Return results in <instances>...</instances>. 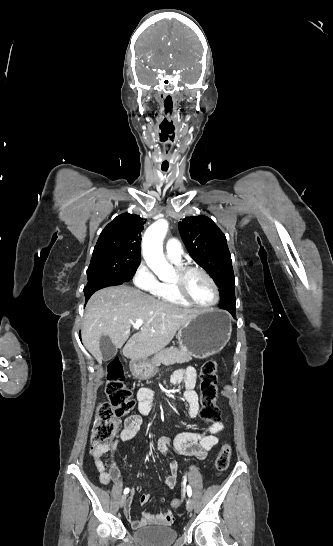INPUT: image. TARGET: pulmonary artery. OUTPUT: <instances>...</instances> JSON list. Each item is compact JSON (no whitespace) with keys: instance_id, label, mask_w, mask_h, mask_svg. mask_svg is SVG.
I'll use <instances>...</instances> for the list:
<instances>
[{"instance_id":"e3ab8cb5","label":"pulmonary artery","mask_w":333,"mask_h":546,"mask_svg":"<svg viewBox=\"0 0 333 546\" xmlns=\"http://www.w3.org/2000/svg\"><path fill=\"white\" fill-rule=\"evenodd\" d=\"M166 254L169 259L175 263H179L182 258V247L176 238L168 240L166 243Z\"/></svg>"}]
</instances>
